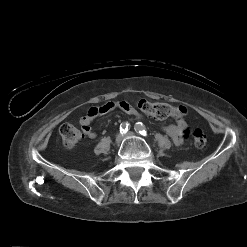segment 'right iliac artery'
I'll return each instance as SVG.
<instances>
[{"mask_svg":"<svg viewBox=\"0 0 247 247\" xmlns=\"http://www.w3.org/2000/svg\"><path fill=\"white\" fill-rule=\"evenodd\" d=\"M120 133L124 134L129 130V124L127 122H123L120 124Z\"/></svg>","mask_w":247,"mask_h":247,"instance_id":"82829eb1","label":"right iliac artery"}]
</instances>
